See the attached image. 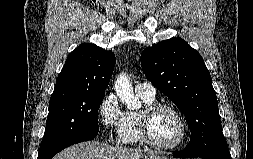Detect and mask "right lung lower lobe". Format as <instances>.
Segmentation results:
<instances>
[{"instance_id":"98d812e1","label":"right lung lower lobe","mask_w":253,"mask_h":159,"mask_svg":"<svg viewBox=\"0 0 253 159\" xmlns=\"http://www.w3.org/2000/svg\"><path fill=\"white\" fill-rule=\"evenodd\" d=\"M97 136V133H87V134H81L76 137L69 138L56 146H54L48 153H46L42 157H38V159H51L55 154L63 150L64 148L73 145L78 142H83L87 140H91Z\"/></svg>"}]
</instances>
